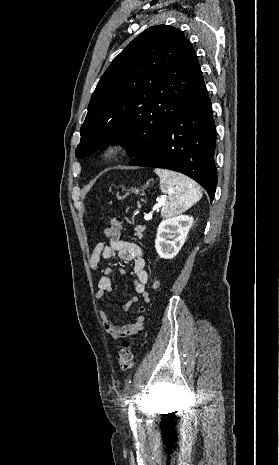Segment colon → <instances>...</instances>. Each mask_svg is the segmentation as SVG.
Listing matches in <instances>:
<instances>
[{
    "mask_svg": "<svg viewBox=\"0 0 279 465\" xmlns=\"http://www.w3.org/2000/svg\"><path fill=\"white\" fill-rule=\"evenodd\" d=\"M123 228V220L119 216H112L108 226L104 230V235L110 239H118ZM156 283L154 287H156ZM117 362L121 369L128 370L134 364V356L129 343H123L116 354Z\"/></svg>",
    "mask_w": 279,
    "mask_h": 465,
    "instance_id": "5ec220e1",
    "label": "colon"
}]
</instances>
